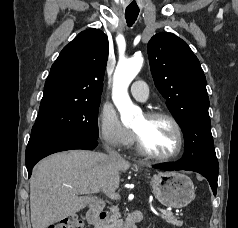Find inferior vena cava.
Masks as SVG:
<instances>
[{
    "label": "inferior vena cava",
    "instance_id": "obj_1",
    "mask_svg": "<svg viewBox=\"0 0 238 228\" xmlns=\"http://www.w3.org/2000/svg\"><path fill=\"white\" fill-rule=\"evenodd\" d=\"M109 155L111 157L119 158L120 155L116 151H112L111 149H108Z\"/></svg>",
    "mask_w": 238,
    "mask_h": 228
}]
</instances>
